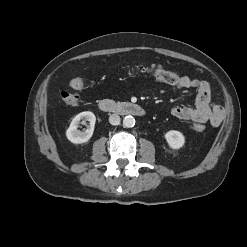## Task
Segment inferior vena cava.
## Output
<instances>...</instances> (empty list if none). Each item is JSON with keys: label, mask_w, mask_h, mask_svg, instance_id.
Segmentation results:
<instances>
[{"label": "inferior vena cava", "mask_w": 247, "mask_h": 247, "mask_svg": "<svg viewBox=\"0 0 247 247\" xmlns=\"http://www.w3.org/2000/svg\"><path fill=\"white\" fill-rule=\"evenodd\" d=\"M109 122L111 125H119L120 124V116L118 114L110 115Z\"/></svg>", "instance_id": "1"}]
</instances>
